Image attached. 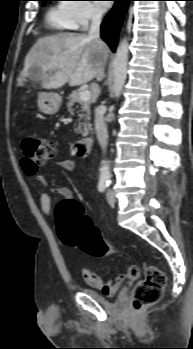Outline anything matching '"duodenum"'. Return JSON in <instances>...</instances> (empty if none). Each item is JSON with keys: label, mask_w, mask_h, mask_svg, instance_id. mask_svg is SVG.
<instances>
[{"label": "duodenum", "mask_w": 193, "mask_h": 349, "mask_svg": "<svg viewBox=\"0 0 193 349\" xmlns=\"http://www.w3.org/2000/svg\"><path fill=\"white\" fill-rule=\"evenodd\" d=\"M92 147V139L89 137L83 138L76 144L75 153L77 156H87L88 154H90Z\"/></svg>", "instance_id": "duodenum-1"}]
</instances>
